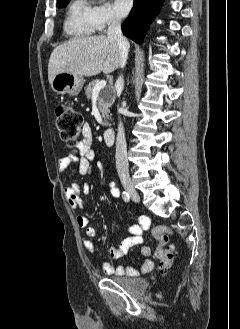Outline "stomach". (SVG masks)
<instances>
[{"mask_svg": "<svg viewBox=\"0 0 240 329\" xmlns=\"http://www.w3.org/2000/svg\"><path fill=\"white\" fill-rule=\"evenodd\" d=\"M83 78L67 72H60L55 75L50 83L51 89L57 94H69L76 96L82 89Z\"/></svg>", "mask_w": 240, "mask_h": 329, "instance_id": "1", "label": "stomach"}]
</instances>
